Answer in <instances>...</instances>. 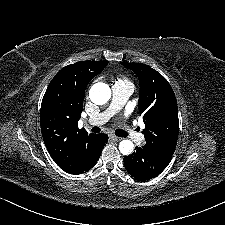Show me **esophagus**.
Wrapping results in <instances>:
<instances>
[{"instance_id": "1", "label": "esophagus", "mask_w": 225, "mask_h": 225, "mask_svg": "<svg viewBox=\"0 0 225 225\" xmlns=\"http://www.w3.org/2000/svg\"><path fill=\"white\" fill-rule=\"evenodd\" d=\"M109 138H110L111 140H113V141H121V140H122V138L117 137V136H115V135H113V134H110V135H109Z\"/></svg>"}]
</instances>
